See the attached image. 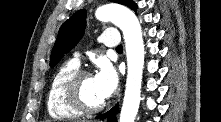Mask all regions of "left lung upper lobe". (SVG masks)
<instances>
[{
  "mask_svg": "<svg viewBox=\"0 0 221 122\" xmlns=\"http://www.w3.org/2000/svg\"><path fill=\"white\" fill-rule=\"evenodd\" d=\"M129 8H133V0H111ZM86 11L79 10L65 21L59 29L58 37L53 47L50 66L54 67L63 56L76 46L84 34Z\"/></svg>",
  "mask_w": 221,
  "mask_h": 122,
  "instance_id": "obj_1",
  "label": "left lung upper lobe"
}]
</instances>
